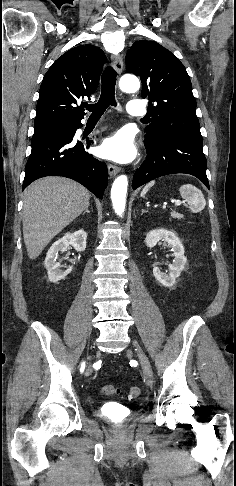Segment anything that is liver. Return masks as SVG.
<instances>
[{"label": "liver", "instance_id": "obj_1", "mask_svg": "<svg viewBox=\"0 0 236 486\" xmlns=\"http://www.w3.org/2000/svg\"><path fill=\"white\" fill-rule=\"evenodd\" d=\"M90 193L64 177H45L24 192L23 237L28 257L36 259L48 243L88 206Z\"/></svg>", "mask_w": 236, "mask_h": 486}]
</instances>
